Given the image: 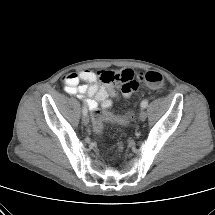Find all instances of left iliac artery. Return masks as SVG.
I'll return each instance as SVG.
<instances>
[{
  "label": "left iliac artery",
  "mask_w": 215,
  "mask_h": 215,
  "mask_svg": "<svg viewBox=\"0 0 215 215\" xmlns=\"http://www.w3.org/2000/svg\"><path fill=\"white\" fill-rule=\"evenodd\" d=\"M147 106H148V100L145 99L141 102V107L146 108Z\"/></svg>",
  "instance_id": "1"
}]
</instances>
